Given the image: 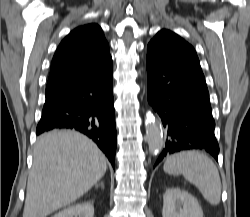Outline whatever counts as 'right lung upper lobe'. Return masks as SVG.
Masks as SVG:
<instances>
[{
    "label": "right lung upper lobe",
    "instance_id": "1",
    "mask_svg": "<svg viewBox=\"0 0 250 217\" xmlns=\"http://www.w3.org/2000/svg\"><path fill=\"white\" fill-rule=\"evenodd\" d=\"M112 62L109 45L97 24L77 27L58 46L46 92L92 76Z\"/></svg>",
    "mask_w": 250,
    "mask_h": 217
}]
</instances>
